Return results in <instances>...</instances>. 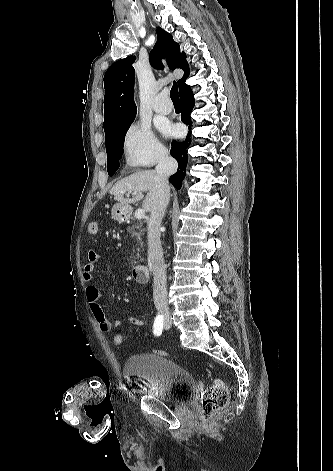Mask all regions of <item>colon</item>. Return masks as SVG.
Listing matches in <instances>:
<instances>
[{
    "mask_svg": "<svg viewBox=\"0 0 333 471\" xmlns=\"http://www.w3.org/2000/svg\"><path fill=\"white\" fill-rule=\"evenodd\" d=\"M88 231L92 235L98 233L97 222H90ZM125 337L121 333H116L113 336V343L116 346L124 344ZM155 354L167 356V352L162 350H155ZM229 402V392L225 383L220 379H214L212 384L205 390L202 396V421L207 425L212 417L221 409L225 408Z\"/></svg>",
    "mask_w": 333,
    "mask_h": 471,
    "instance_id": "colon-1",
    "label": "colon"
}]
</instances>
